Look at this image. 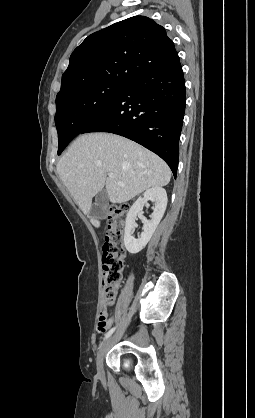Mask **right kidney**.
<instances>
[{
  "mask_svg": "<svg viewBox=\"0 0 255 418\" xmlns=\"http://www.w3.org/2000/svg\"><path fill=\"white\" fill-rule=\"evenodd\" d=\"M148 200L154 203L153 213L150 220L143 221V232L137 239L132 236V231L136 226L135 220L142 212ZM167 193L162 187H153L144 192L130 208L125 225L124 245L129 253L140 252L150 241L154 231L160 223L167 206Z\"/></svg>",
  "mask_w": 255,
  "mask_h": 418,
  "instance_id": "1",
  "label": "right kidney"
}]
</instances>
